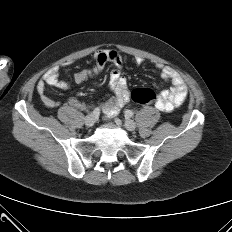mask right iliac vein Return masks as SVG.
Segmentation results:
<instances>
[{"instance_id": "1", "label": "right iliac vein", "mask_w": 232, "mask_h": 232, "mask_svg": "<svg viewBox=\"0 0 232 232\" xmlns=\"http://www.w3.org/2000/svg\"><path fill=\"white\" fill-rule=\"evenodd\" d=\"M95 120L93 114H90L85 117L84 123L87 127H92L95 124Z\"/></svg>"}]
</instances>
